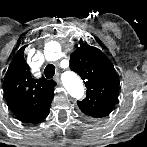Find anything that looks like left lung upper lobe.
Masks as SVG:
<instances>
[{
    "label": "left lung upper lobe",
    "mask_w": 147,
    "mask_h": 147,
    "mask_svg": "<svg viewBox=\"0 0 147 147\" xmlns=\"http://www.w3.org/2000/svg\"><path fill=\"white\" fill-rule=\"evenodd\" d=\"M70 69L87 87L86 98L77 101L80 110L93 118L107 116L115 106L120 84L112 62L100 49L81 44L71 54Z\"/></svg>",
    "instance_id": "obj_1"
}]
</instances>
